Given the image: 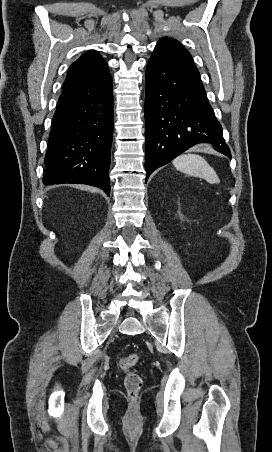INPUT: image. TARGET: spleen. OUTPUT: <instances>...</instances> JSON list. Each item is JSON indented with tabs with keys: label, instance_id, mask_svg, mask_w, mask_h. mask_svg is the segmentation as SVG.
I'll return each mask as SVG.
<instances>
[{
	"label": "spleen",
	"instance_id": "3e777b00",
	"mask_svg": "<svg viewBox=\"0 0 272 452\" xmlns=\"http://www.w3.org/2000/svg\"><path fill=\"white\" fill-rule=\"evenodd\" d=\"M173 165L186 175L203 178L211 184L220 182L215 170L200 155L182 154L173 160Z\"/></svg>",
	"mask_w": 272,
	"mask_h": 452
}]
</instances>
